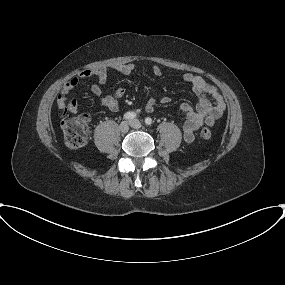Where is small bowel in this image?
Wrapping results in <instances>:
<instances>
[{"instance_id":"obj_1","label":"small bowel","mask_w":285,"mask_h":285,"mask_svg":"<svg viewBox=\"0 0 285 285\" xmlns=\"http://www.w3.org/2000/svg\"><path fill=\"white\" fill-rule=\"evenodd\" d=\"M135 68V64L126 63L114 67L113 70L123 75H129ZM151 72L155 76L162 75V70L157 65L151 68ZM92 77L97 79V83L91 86L92 94L99 98L100 103L104 107L113 112L117 111L119 109L118 100L124 96L125 90L122 87H118L110 95L102 94V85L106 83L108 78L107 69L104 68L86 69L76 77L68 80L57 96L58 107L61 110L76 113L78 111V104L76 100L69 99L68 95L79 84L80 80ZM183 80L191 84L193 92L199 98V102L195 107H192L188 103H182L179 108L180 114L185 119L182 126L183 139L186 143H192L195 139L196 130L204 124L213 126L215 121L223 115L225 103L217 88L209 84L201 76L185 73ZM168 102V97L164 96L161 98V103L167 104ZM155 103L153 98L149 99L145 105V111L152 112L155 108ZM139 111L140 109L136 110V112Z\"/></svg>"}]
</instances>
